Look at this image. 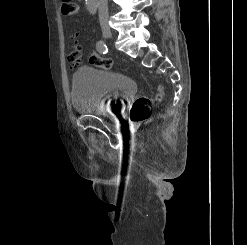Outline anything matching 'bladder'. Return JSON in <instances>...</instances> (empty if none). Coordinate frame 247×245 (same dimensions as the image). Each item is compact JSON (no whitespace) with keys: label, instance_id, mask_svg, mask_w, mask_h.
<instances>
[{"label":"bladder","instance_id":"1","mask_svg":"<svg viewBox=\"0 0 247 245\" xmlns=\"http://www.w3.org/2000/svg\"><path fill=\"white\" fill-rule=\"evenodd\" d=\"M136 91L128 75L94 67L78 68L72 78L71 101L77 112L107 116L119 112Z\"/></svg>","mask_w":247,"mask_h":245}]
</instances>
